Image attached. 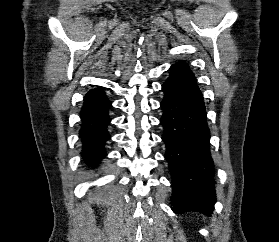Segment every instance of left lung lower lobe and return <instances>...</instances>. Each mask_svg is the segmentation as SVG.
I'll list each match as a JSON object with an SVG mask.
<instances>
[{
	"label": "left lung lower lobe",
	"instance_id": "0a47b994",
	"mask_svg": "<svg viewBox=\"0 0 279 242\" xmlns=\"http://www.w3.org/2000/svg\"><path fill=\"white\" fill-rule=\"evenodd\" d=\"M162 90L160 122L172 178L173 211L209 215L216 201L215 172L202 93L185 62L171 66Z\"/></svg>",
	"mask_w": 279,
	"mask_h": 242
}]
</instances>
